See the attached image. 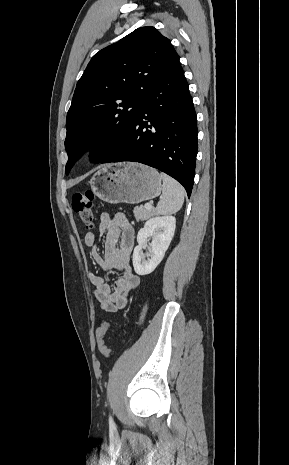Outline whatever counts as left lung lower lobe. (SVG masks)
<instances>
[{"instance_id":"left-lung-lower-lobe-1","label":"left lung lower lobe","mask_w":289,"mask_h":465,"mask_svg":"<svg viewBox=\"0 0 289 465\" xmlns=\"http://www.w3.org/2000/svg\"><path fill=\"white\" fill-rule=\"evenodd\" d=\"M197 154V120L180 66L147 92L119 145L100 163L132 161L179 181L190 197Z\"/></svg>"}]
</instances>
